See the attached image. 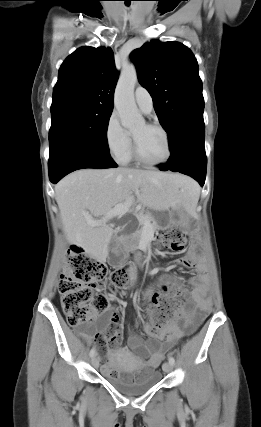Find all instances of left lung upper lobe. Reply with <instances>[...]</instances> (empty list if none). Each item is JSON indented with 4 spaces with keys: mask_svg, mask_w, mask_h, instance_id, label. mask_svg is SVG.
I'll use <instances>...</instances> for the list:
<instances>
[{
    "mask_svg": "<svg viewBox=\"0 0 261 427\" xmlns=\"http://www.w3.org/2000/svg\"><path fill=\"white\" fill-rule=\"evenodd\" d=\"M140 84L151 94L161 125L170 136L179 124L203 119L198 64L185 45L153 40L132 52Z\"/></svg>",
    "mask_w": 261,
    "mask_h": 427,
    "instance_id": "obj_1",
    "label": "left lung upper lobe"
}]
</instances>
